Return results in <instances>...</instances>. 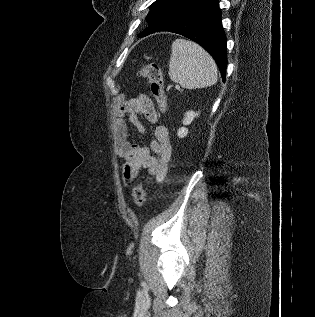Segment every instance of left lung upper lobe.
I'll list each match as a JSON object with an SVG mask.
<instances>
[{"instance_id": "obj_1", "label": "left lung upper lobe", "mask_w": 315, "mask_h": 317, "mask_svg": "<svg viewBox=\"0 0 315 317\" xmlns=\"http://www.w3.org/2000/svg\"><path fill=\"white\" fill-rule=\"evenodd\" d=\"M199 0H156L150 6L146 20L149 27L139 36L143 37L154 32L170 28L188 9Z\"/></svg>"}]
</instances>
